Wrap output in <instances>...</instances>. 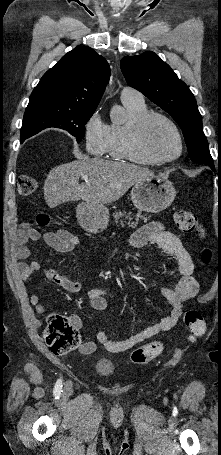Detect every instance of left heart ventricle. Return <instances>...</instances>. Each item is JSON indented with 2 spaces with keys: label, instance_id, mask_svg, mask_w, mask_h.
<instances>
[{
  "label": "left heart ventricle",
  "instance_id": "1",
  "mask_svg": "<svg viewBox=\"0 0 221 455\" xmlns=\"http://www.w3.org/2000/svg\"><path fill=\"white\" fill-rule=\"evenodd\" d=\"M145 143L151 153L158 158H169L178 153L179 145L171 127L156 119L146 130Z\"/></svg>",
  "mask_w": 221,
  "mask_h": 455
}]
</instances>
